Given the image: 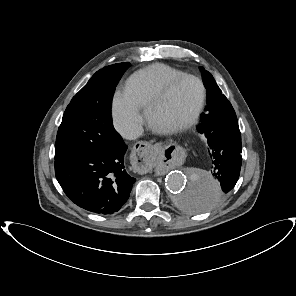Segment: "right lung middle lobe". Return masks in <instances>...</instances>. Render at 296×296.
<instances>
[{
  "mask_svg": "<svg viewBox=\"0 0 296 296\" xmlns=\"http://www.w3.org/2000/svg\"><path fill=\"white\" fill-rule=\"evenodd\" d=\"M129 66V62H123L100 69L72 98L58 129L55 160L122 143L112 124L110 105L115 87Z\"/></svg>",
  "mask_w": 296,
  "mask_h": 296,
  "instance_id": "1",
  "label": "right lung middle lobe"
}]
</instances>
